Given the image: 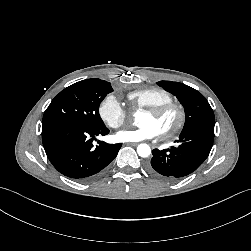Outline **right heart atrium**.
I'll list each match as a JSON object with an SVG mask.
<instances>
[{
	"instance_id": "d8ad5b80",
	"label": "right heart atrium",
	"mask_w": 251,
	"mask_h": 251,
	"mask_svg": "<svg viewBox=\"0 0 251 251\" xmlns=\"http://www.w3.org/2000/svg\"><path fill=\"white\" fill-rule=\"evenodd\" d=\"M99 116L110 128L123 126L128 119V112L115 95H107L99 105Z\"/></svg>"
}]
</instances>
